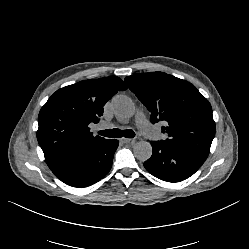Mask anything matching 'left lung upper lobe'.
Here are the masks:
<instances>
[{
  "instance_id": "left-lung-upper-lobe-1",
  "label": "left lung upper lobe",
  "mask_w": 249,
  "mask_h": 249,
  "mask_svg": "<svg viewBox=\"0 0 249 249\" xmlns=\"http://www.w3.org/2000/svg\"><path fill=\"white\" fill-rule=\"evenodd\" d=\"M129 89L151 112L150 121L165 122L161 142L209 154L215 122L209 101L191 83L163 72L125 78Z\"/></svg>"
}]
</instances>
